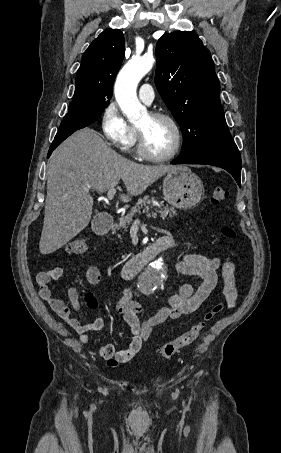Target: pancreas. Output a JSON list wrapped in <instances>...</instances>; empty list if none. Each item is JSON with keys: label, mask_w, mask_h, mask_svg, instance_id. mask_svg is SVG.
<instances>
[{"label": "pancreas", "mask_w": 281, "mask_h": 453, "mask_svg": "<svg viewBox=\"0 0 281 453\" xmlns=\"http://www.w3.org/2000/svg\"><path fill=\"white\" fill-rule=\"evenodd\" d=\"M152 200H155V196H152L151 200H149V196H143V198H139L138 202H136L135 206H132L130 212L126 214V216H121L119 218L118 224H113L114 229H127L126 224H131L132 216L136 214V212H141V208H143L142 212H146L147 218L149 216H162V218H166V216H173V214H177L176 210H174V206H164L163 202H160V206L162 208H158V204H151ZM150 208H154V210H150Z\"/></svg>", "instance_id": "cf45deb5"}]
</instances>
